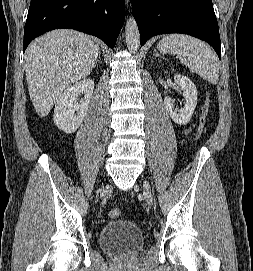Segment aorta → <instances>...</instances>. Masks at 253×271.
I'll use <instances>...</instances> for the list:
<instances>
[{
	"mask_svg": "<svg viewBox=\"0 0 253 271\" xmlns=\"http://www.w3.org/2000/svg\"><path fill=\"white\" fill-rule=\"evenodd\" d=\"M125 37L128 50L132 53H137L140 47V33L137 22L133 17H129L126 21Z\"/></svg>",
	"mask_w": 253,
	"mask_h": 271,
	"instance_id": "1",
	"label": "aorta"
}]
</instances>
